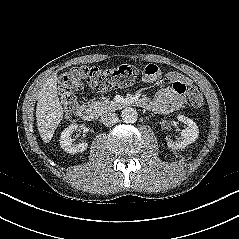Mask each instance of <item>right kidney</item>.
<instances>
[{"instance_id":"ca27d5eb","label":"right kidney","mask_w":239,"mask_h":239,"mask_svg":"<svg viewBox=\"0 0 239 239\" xmlns=\"http://www.w3.org/2000/svg\"><path fill=\"white\" fill-rule=\"evenodd\" d=\"M82 127V126H81ZM78 124H71L63 130L60 136V146L67 153L76 154L83 152L87 149V143L73 144V139L71 138L72 133L77 130Z\"/></svg>"}]
</instances>
